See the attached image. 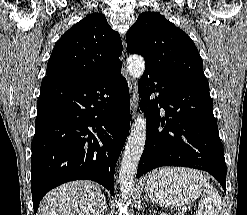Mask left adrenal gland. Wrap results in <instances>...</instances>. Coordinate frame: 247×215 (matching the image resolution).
Segmentation results:
<instances>
[{"label":"left adrenal gland","instance_id":"1","mask_svg":"<svg viewBox=\"0 0 247 215\" xmlns=\"http://www.w3.org/2000/svg\"><path fill=\"white\" fill-rule=\"evenodd\" d=\"M146 200H147V203H149V202H150L148 197H146Z\"/></svg>","mask_w":247,"mask_h":215}]
</instances>
